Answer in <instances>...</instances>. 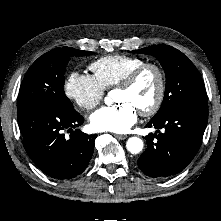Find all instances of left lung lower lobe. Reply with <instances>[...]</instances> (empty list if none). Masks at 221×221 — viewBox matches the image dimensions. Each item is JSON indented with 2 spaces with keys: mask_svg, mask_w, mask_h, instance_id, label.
Masks as SVG:
<instances>
[{
  "mask_svg": "<svg viewBox=\"0 0 221 221\" xmlns=\"http://www.w3.org/2000/svg\"><path fill=\"white\" fill-rule=\"evenodd\" d=\"M208 121V101L184 104L146 127L162 129L146 136L147 148L137 164L150 177L165 178L182 171L194 158Z\"/></svg>",
  "mask_w": 221,
  "mask_h": 221,
  "instance_id": "obj_1",
  "label": "left lung lower lobe"
}]
</instances>
